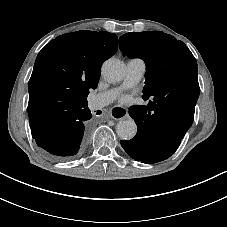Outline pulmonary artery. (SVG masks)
Segmentation results:
<instances>
[{"label": "pulmonary artery", "instance_id": "pulmonary-artery-1", "mask_svg": "<svg viewBox=\"0 0 227 227\" xmlns=\"http://www.w3.org/2000/svg\"><path fill=\"white\" fill-rule=\"evenodd\" d=\"M145 63L141 59H130L126 63V73L120 87L100 92L90 98V109H101L113 103L124 89L136 85L143 77Z\"/></svg>", "mask_w": 227, "mask_h": 227}]
</instances>
